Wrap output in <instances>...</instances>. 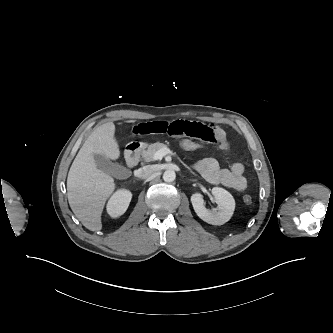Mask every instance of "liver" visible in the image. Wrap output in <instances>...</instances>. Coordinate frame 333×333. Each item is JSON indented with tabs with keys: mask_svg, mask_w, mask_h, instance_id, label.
Segmentation results:
<instances>
[{
	"mask_svg": "<svg viewBox=\"0 0 333 333\" xmlns=\"http://www.w3.org/2000/svg\"><path fill=\"white\" fill-rule=\"evenodd\" d=\"M114 134L115 125L112 122L96 128L76 155L67 177L69 205L77 219L91 231L102 229L101 214L116 187L114 179L97 168L94 154L116 160L120 150Z\"/></svg>",
	"mask_w": 333,
	"mask_h": 333,
	"instance_id": "6515ba94",
	"label": "liver"
}]
</instances>
